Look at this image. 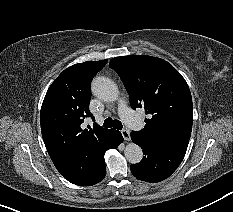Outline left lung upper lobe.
Segmentation results:
<instances>
[{
	"instance_id": "1",
	"label": "left lung upper lobe",
	"mask_w": 233,
	"mask_h": 212,
	"mask_svg": "<svg viewBox=\"0 0 233 212\" xmlns=\"http://www.w3.org/2000/svg\"><path fill=\"white\" fill-rule=\"evenodd\" d=\"M109 67L124 83L132 108L145 109L146 125L133 133L186 152L192 130L193 104L182 75L167 61L152 56L115 57Z\"/></svg>"
}]
</instances>
